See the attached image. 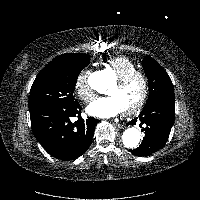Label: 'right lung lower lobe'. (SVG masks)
Returning a JSON list of instances; mask_svg holds the SVG:
<instances>
[{"label":"right lung lower lobe","mask_w":200,"mask_h":200,"mask_svg":"<svg viewBox=\"0 0 200 200\" xmlns=\"http://www.w3.org/2000/svg\"><path fill=\"white\" fill-rule=\"evenodd\" d=\"M82 107L49 105L30 108L32 131L43 148L53 157L64 161L81 156L90 146L98 121L81 118ZM78 117L73 123L71 119Z\"/></svg>","instance_id":"right-lung-lower-lobe-1"}]
</instances>
